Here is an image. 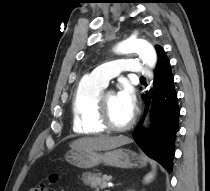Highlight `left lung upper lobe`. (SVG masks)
<instances>
[{
    "label": "left lung upper lobe",
    "mask_w": 210,
    "mask_h": 191,
    "mask_svg": "<svg viewBox=\"0 0 210 191\" xmlns=\"http://www.w3.org/2000/svg\"><path fill=\"white\" fill-rule=\"evenodd\" d=\"M161 50L163 51V48H162V47H160V46H156V51H157V54H158Z\"/></svg>",
    "instance_id": "5c2ea615"
}]
</instances>
